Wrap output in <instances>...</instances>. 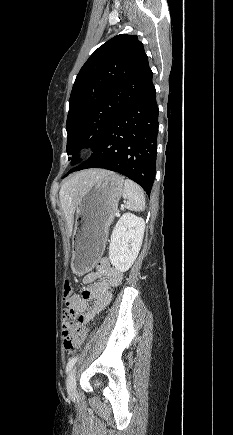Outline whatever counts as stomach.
Returning <instances> with one entry per match:
<instances>
[{
    "label": "stomach",
    "instance_id": "obj_1",
    "mask_svg": "<svg viewBox=\"0 0 233 435\" xmlns=\"http://www.w3.org/2000/svg\"><path fill=\"white\" fill-rule=\"evenodd\" d=\"M123 178L109 172L89 186L76 208L71 268L76 275L90 272L101 257L108 227L123 194Z\"/></svg>",
    "mask_w": 233,
    "mask_h": 435
}]
</instances>
